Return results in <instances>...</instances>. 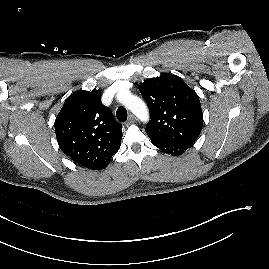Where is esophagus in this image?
Segmentation results:
<instances>
[{
  "instance_id": "34e87169",
  "label": "esophagus",
  "mask_w": 269,
  "mask_h": 269,
  "mask_svg": "<svg viewBox=\"0 0 269 269\" xmlns=\"http://www.w3.org/2000/svg\"><path fill=\"white\" fill-rule=\"evenodd\" d=\"M135 120H136L135 116L133 114H130L127 124H132L135 122Z\"/></svg>"
}]
</instances>
